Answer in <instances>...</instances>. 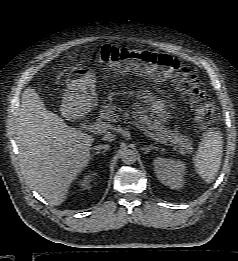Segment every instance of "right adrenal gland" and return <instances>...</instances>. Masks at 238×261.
Wrapping results in <instances>:
<instances>
[{
  "label": "right adrenal gland",
  "mask_w": 238,
  "mask_h": 261,
  "mask_svg": "<svg viewBox=\"0 0 238 261\" xmlns=\"http://www.w3.org/2000/svg\"><path fill=\"white\" fill-rule=\"evenodd\" d=\"M107 151V149H104L102 151H98V152H95L94 155H97V154H103Z\"/></svg>",
  "instance_id": "2a0ac1e0"
}]
</instances>
